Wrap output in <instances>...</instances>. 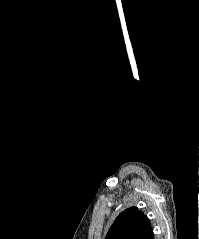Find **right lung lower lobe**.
Listing matches in <instances>:
<instances>
[{
  "label": "right lung lower lobe",
  "mask_w": 199,
  "mask_h": 239,
  "mask_svg": "<svg viewBox=\"0 0 199 239\" xmlns=\"http://www.w3.org/2000/svg\"><path fill=\"white\" fill-rule=\"evenodd\" d=\"M144 239H154L153 231H151L148 235H146Z\"/></svg>",
  "instance_id": "obj_1"
}]
</instances>
